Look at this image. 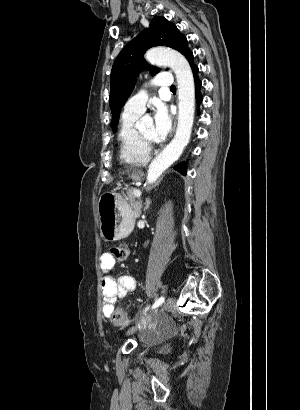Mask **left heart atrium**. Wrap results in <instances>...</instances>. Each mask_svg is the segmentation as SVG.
<instances>
[{
    "mask_svg": "<svg viewBox=\"0 0 300 410\" xmlns=\"http://www.w3.org/2000/svg\"><path fill=\"white\" fill-rule=\"evenodd\" d=\"M171 116L168 112L167 107L158 103L155 106L154 110V124H153V136L154 141L161 142L163 141L171 130Z\"/></svg>",
    "mask_w": 300,
    "mask_h": 410,
    "instance_id": "obj_1",
    "label": "left heart atrium"
}]
</instances>
